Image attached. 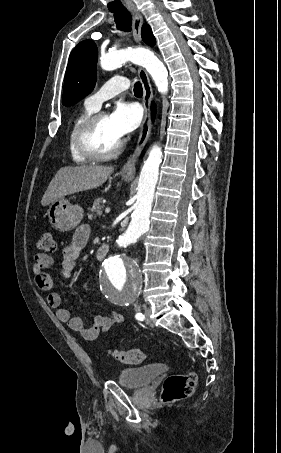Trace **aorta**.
<instances>
[{
  "label": "aorta",
  "mask_w": 281,
  "mask_h": 453,
  "mask_svg": "<svg viewBox=\"0 0 281 453\" xmlns=\"http://www.w3.org/2000/svg\"><path fill=\"white\" fill-rule=\"evenodd\" d=\"M127 61L142 66L152 77L158 91H168V72L155 54L146 48H127L105 54L100 59L103 70H114ZM162 162L161 147L154 145L140 172L136 203L131 221L125 233L119 237V245L135 243L149 230V217ZM100 290L105 298L116 305L133 302L139 295L142 274L137 263L125 256H109L102 264L99 276Z\"/></svg>",
  "instance_id": "1"
}]
</instances>
